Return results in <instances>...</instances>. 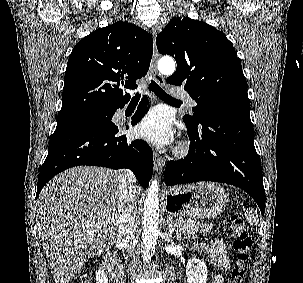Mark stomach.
Listing matches in <instances>:
<instances>
[{"label":"stomach","instance_id":"stomach-1","mask_svg":"<svg viewBox=\"0 0 303 283\" xmlns=\"http://www.w3.org/2000/svg\"><path fill=\"white\" fill-rule=\"evenodd\" d=\"M229 196L214 183H196L170 189L165 196L166 209L190 218H215L226 208Z\"/></svg>","mask_w":303,"mask_h":283}]
</instances>
